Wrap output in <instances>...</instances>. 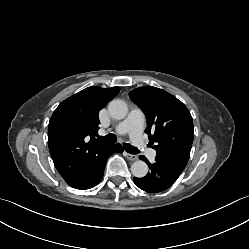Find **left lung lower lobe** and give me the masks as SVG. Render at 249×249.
<instances>
[{"mask_svg": "<svg viewBox=\"0 0 249 249\" xmlns=\"http://www.w3.org/2000/svg\"><path fill=\"white\" fill-rule=\"evenodd\" d=\"M140 159L148 164L150 172L143 178L134 177L133 181L140 189L146 192L157 193L166 190L183 171L156 159L153 164H150L144 156H140Z\"/></svg>", "mask_w": 249, "mask_h": 249, "instance_id": "1", "label": "left lung lower lobe"}]
</instances>
